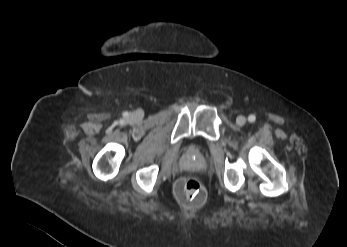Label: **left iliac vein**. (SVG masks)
I'll return each instance as SVG.
<instances>
[{
	"instance_id": "left-iliac-vein-1",
	"label": "left iliac vein",
	"mask_w": 347,
	"mask_h": 247,
	"mask_svg": "<svg viewBox=\"0 0 347 247\" xmlns=\"http://www.w3.org/2000/svg\"><path fill=\"white\" fill-rule=\"evenodd\" d=\"M245 123H246V118L244 116L240 115L236 118V124L238 126H243L245 125Z\"/></svg>"
}]
</instances>
